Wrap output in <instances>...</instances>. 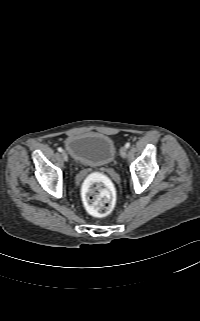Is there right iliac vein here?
Masks as SVG:
<instances>
[{
	"label": "right iliac vein",
	"instance_id": "1",
	"mask_svg": "<svg viewBox=\"0 0 200 321\" xmlns=\"http://www.w3.org/2000/svg\"><path fill=\"white\" fill-rule=\"evenodd\" d=\"M62 157H63V159H64L65 161L68 160V156H67V154H66L65 151H62Z\"/></svg>",
	"mask_w": 200,
	"mask_h": 321
}]
</instances>
